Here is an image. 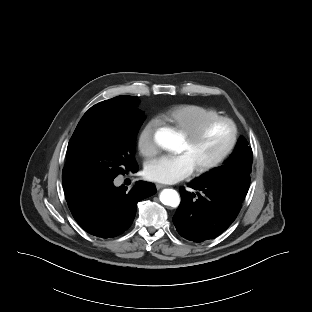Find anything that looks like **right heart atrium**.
Segmentation results:
<instances>
[{
    "label": "right heart atrium",
    "instance_id": "obj_1",
    "mask_svg": "<svg viewBox=\"0 0 312 312\" xmlns=\"http://www.w3.org/2000/svg\"><path fill=\"white\" fill-rule=\"evenodd\" d=\"M157 126L158 120L151 119L144 124L139 133L138 148L140 153L147 158L154 157L159 151V147L155 140Z\"/></svg>",
    "mask_w": 312,
    "mask_h": 312
}]
</instances>
